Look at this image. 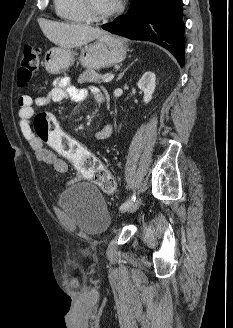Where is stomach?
Returning a JSON list of instances; mask_svg holds the SVG:
<instances>
[{
  "mask_svg": "<svg viewBox=\"0 0 233 328\" xmlns=\"http://www.w3.org/2000/svg\"><path fill=\"white\" fill-rule=\"evenodd\" d=\"M126 42L116 35L105 33L93 43L81 48L78 60L83 67L100 69L122 62L126 57ZM75 60L70 48L54 47L44 57V66L48 73L58 74L69 68Z\"/></svg>",
  "mask_w": 233,
  "mask_h": 328,
  "instance_id": "0dacf381",
  "label": "stomach"
}]
</instances>
